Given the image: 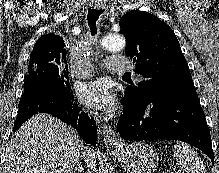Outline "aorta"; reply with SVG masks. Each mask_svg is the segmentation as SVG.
Masks as SVG:
<instances>
[{"mask_svg": "<svg viewBox=\"0 0 219 173\" xmlns=\"http://www.w3.org/2000/svg\"><path fill=\"white\" fill-rule=\"evenodd\" d=\"M100 46L108 51H121L126 46V40L120 34L108 35L100 39Z\"/></svg>", "mask_w": 219, "mask_h": 173, "instance_id": "1", "label": "aorta"}]
</instances>
